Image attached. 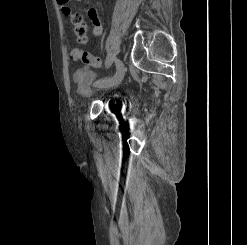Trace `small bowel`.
Returning a JSON list of instances; mask_svg holds the SVG:
<instances>
[{
	"instance_id": "1",
	"label": "small bowel",
	"mask_w": 247,
	"mask_h": 245,
	"mask_svg": "<svg viewBox=\"0 0 247 245\" xmlns=\"http://www.w3.org/2000/svg\"><path fill=\"white\" fill-rule=\"evenodd\" d=\"M75 1H81V0H75ZM57 2L60 5L63 14L65 16H70L72 11L67 6L68 0H57ZM87 14L93 24L92 36L98 37L102 33V29H103L102 22L98 16V13L95 8L88 7ZM70 59L74 62L80 61L83 64L92 67H100L101 65V59L99 57L94 56L90 52L80 48H74L70 51Z\"/></svg>"
}]
</instances>
